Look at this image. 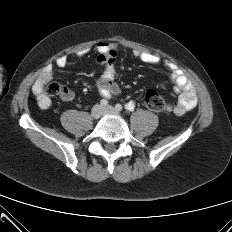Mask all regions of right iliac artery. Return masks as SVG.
<instances>
[{
  "mask_svg": "<svg viewBox=\"0 0 232 232\" xmlns=\"http://www.w3.org/2000/svg\"><path fill=\"white\" fill-rule=\"evenodd\" d=\"M100 104H101L102 106H106V105H108V101H107L106 99H102V100L100 101Z\"/></svg>",
  "mask_w": 232,
  "mask_h": 232,
  "instance_id": "82829eb1",
  "label": "right iliac artery"
}]
</instances>
